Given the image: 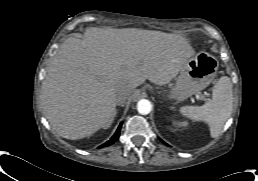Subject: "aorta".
<instances>
[{
	"label": "aorta",
	"instance_id": "aorta-1",
	"mask_svg": "<svg viewBox=\"0 0 258 181\" xmlns=\"http://www.w3.org/2000/svg\"><path fill=\"white\" fill-rule=\"evenodd\" d=\"M152 105L151 102L147 99H141L137 103V110L140 114L146 115L151 112Z\"/></svg>",
	"mask_w": 258,
	"mask_h": 181
}]
</instances>
